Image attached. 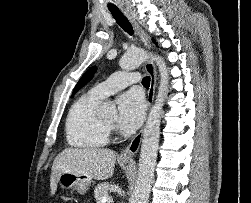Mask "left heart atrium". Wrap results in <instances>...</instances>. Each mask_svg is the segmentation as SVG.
I'll use <instances>...</instances> for the list:
<instances>
[{"instance_id": "1", "label": "left heart atrium", "mask_w": 251, "mask_h": 203, "mask_svg": "<svg viewBox=\"0 0 251 203\" xmlns=\"http://www.w3.org/2000/svg\"><path fill=\"white\" fill-rule=\"evenodd\" d=\"M117 106L118 126L128 132L138 129L146 112V102L143 96L135 90L128 91L118 98Z\"/></svg>"}]
</instances>
